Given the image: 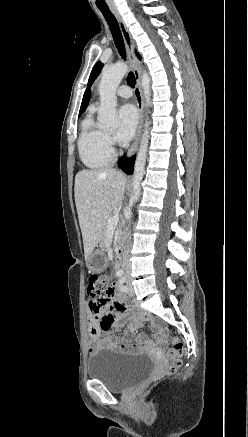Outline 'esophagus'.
I'll use <instances>...</instances> for the list:
<instances>
[{
	"label": "esophagus",
	"mask_w": 248,
	"mask_h": 437,
	"mask_svg": "<svg viewBox=\"0 0 248 437\" xmlns=\"http://www.w3.org/2000/svg\"><path fill=\"white\" fill-rule=\"evenodd\" d=\"M114 14H115V17L119 23V26H120V29H121V32L123 35V39H124V42H125V45L127 48L129 60L131 62L133 72L135 75V79H136L134 94H135L137 108H138V112H139V123H138L135 138H134V140L129 148V151L127 153V157H131L136 152V150L138 148L140 138H141L142 127H143L144 103H143V95H142V88H141L140 62L135 55L134 43H133L131 34H130L125 22L123 21L122 17L119 15L118 12L114 11Z\"/></svg>",
	"instance_id": "obj_1"
}]
</instances>
